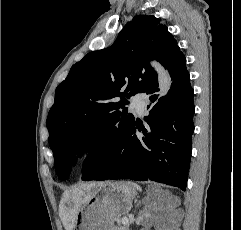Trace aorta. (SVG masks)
I'll return each mask as SVG.
<instances>
[{"mask_svg": "<svg viewBox=\"0 0 241 230\" xmlns=\"http://www.w3.org/2000/svg\"><path fill=\"white\" fill-rule=\"evenodd\" d=\"M151 65L154 67L158 74V84L160 89V95L164 96L167 94L171 87V77L167 70H165L158 62L153 61Z\"/></svg>", "mask_w": 241, "mask_h": 230, "instance_id": "obj_1", "label": "aorta"}]
</instances>
